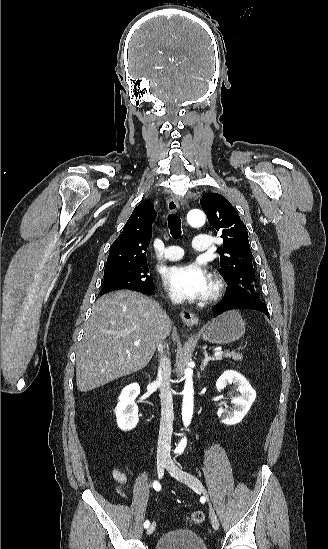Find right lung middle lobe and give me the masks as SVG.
<instances>
[{"mask_svg": "<svg viewBox=\"0 0 328 549\" xmlns=\"http://www.w3.org/2000/svg\"><path fill=\"white\" fill-rule=\"evenodd\" d=\"M153 288L154 283L149 275L147 263H142L104 271V281L100 294L103 295L121 289L143 293Z\"/></svg>", "mask_w": 328, "mask_h": 549, "instance_id": "obj_1", "label": "right lung middle lobe"}]
</instances>
